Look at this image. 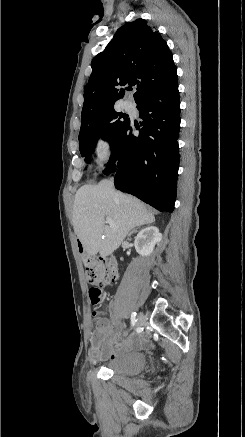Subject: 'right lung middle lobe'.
Wrapping results in <instances>:
<instances>
[{
	"instance_id": "obj_1",
	"label": "right lung middle lobe",
	"mask_w": 245,
	"mask_h": 437,
	"mask_svg": "<svg viewBox=\"0 0 245 437\" xmlns=\"http://www.w3.org/2000/svg\"><path fill=\"white\" fill-rule=\"evenodd\" d=\"M122 117L124 115L111 108L101 113L94 120L81 126L79 148L82 157H85L87 163H90L91 153L100 136L109 141L111 149H114L123 130L130 123V119L124 118L121 120Z\"/></svg>"
}]
</instances>
